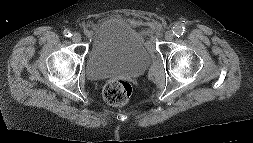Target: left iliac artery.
Listing matches in <instances>:
<instances>
[{
  "instance_id": "left-iliac-artery-1",
  "label": "left iliac artery",
  "mask_w": 253,
  "mask_h": 143,
  "mask_svg": "<svg viewBox=\"0 0 253 143\" xmlns=\"http://www.w3.org/2000/svg\"><path fill=\"white\" fill-rule=\"evenodd\" d=\"M184 31H185V27H181V26L173 27V33L177 37L182 36Z\"/></svg>"
}]
</instances>
